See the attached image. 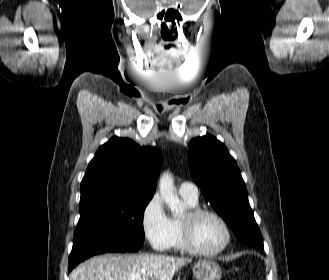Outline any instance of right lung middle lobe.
I'll return each instance as SVG.
<instances>
[{
    "mask_svg": "<svg viewBox=\"0 0 329 280\" xmlns=\"http://www.w3.org/2000/svg\"><path fill=\"white\" fill-rule=\"evenodd\" d=\"M152 197L120 196L80 204L69 265L104 246L137 251L145 238L143 213Z\"/></svg>",
    "mask_w": 329,
    "mask_h": 280,
    "instance_id": "dd1d6c3e",
    "label": "right lung middle lobe"
}]
</instances>
